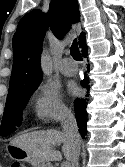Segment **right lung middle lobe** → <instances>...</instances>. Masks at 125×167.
<instances>
[{"label": "right lung middle lobe", "mask_w": 125, "mask_h": 167, "mask_svg": "<svg viewBox=\"0 0 125 167\" xmlns=\"http://www.w3.org/2000/svg\"><path fill=\"white\" fill-rule=\"evenodd\" d=\"M36 89L37 88L7 98L0 127V134L2 136L9 135L16 130V126H20L22 111L26 107V104Z\"/></svg>", "instance_id": "right-lung-middle-lobe-1"}]
</instances>
